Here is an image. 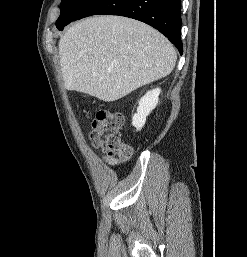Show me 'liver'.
<instances>
[{
    "mask_svg": "<svg viewBox=\"0 0 247 257\" xmlns=\"http://www.w3.org/2000/svg\"><path fill=\"white\" fill-rule=\"evenodd\" d=\"M67 90L116 101L169 75L176 63L173 45L140 21L94 16L70 26L59 41Z\"/></svg>",
    "mask_w": 247,
    "mask_h": 257,
    "instance_id": "obj_1",
    "label": "liver"
}]
</instances>
